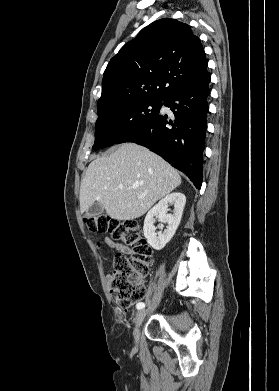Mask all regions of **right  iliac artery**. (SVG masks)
I'll list each match as a JSON object with an SVG mask.
<instances>
[{
  "instance_id": "right-iliac-artery-1",
  "label": "right iliac artery",
  "mask_w": 279,
  "mask_h": 391,
  "mask_svg": "<svg viewBox=\"0 0 279 391\" xmlns=\"http://www.w3.org/2000/svg\"><path fill=\"white\" fill-rule=\"evenodd\" d=\"M137 309L140 310V309H143L145 307V304L143 302H140L136 305Z\"/></svg>"
}]
</instances>
